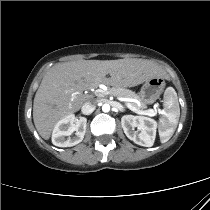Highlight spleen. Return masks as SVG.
Wrapping results in <instances>:
<instances>
[{"label":"spleen","instance_id":"spleen-1","mask_svg":"<svg viewBox=\"0 0 210 210\" xmlns=\"http://www.w3.org/2000/svg\"><path fill=\"white\" fill-rule=\"evenodd\" d=\"M180 117L177 93L168 87L164 93V114L159 119V136L162 143L167 142L174 134Z\"/></svg>","mask_w":210,"mask_h":210}]
</instances>
